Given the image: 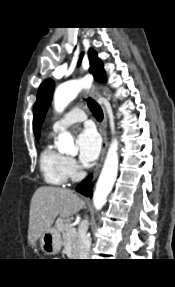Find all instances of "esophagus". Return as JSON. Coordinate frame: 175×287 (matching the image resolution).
Instances as JSON below:
<instances>
[{
  "label": "esophagus",
  "mask_w": 175,
  "mask_h": 287,
  "mask_svg": "<svg viewBox=\"0 0 175 287\" xmlns=\"http://www.w3.org/2000/svg\"><path fill=\"white\" fill-rule=\"evenodd\" d=\"M91 95H92V97L94 99H98L99 98L98 90L93 87L91 89ZM103 112H104V118H103V121H102L101 126L99 128L100 133H101L102 138H103L102 149H101L100 159L97 162V164L95 166V169H94V172H93V179H95L97 177V175H98V173L100 171V168H101L102 163H103L104 158H105L107 146H108V136H107V131H106V128H107V114H106L104 109H103Z\"/></svg>",
  "instance_id": "esophagus-1"
}]
</instances>
